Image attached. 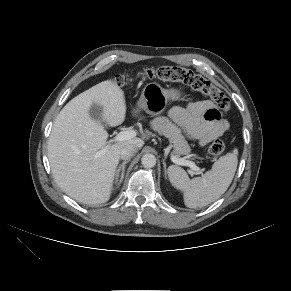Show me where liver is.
<instances>
[{
    "mask_svg": "<svg viewBox=\"0 0 291 291\" xmlns=\"http://www.w3.org/2000/svg\"><path fill=\"white\" fill-rule=\"evenodd\" d=\"M93 103L102 107V121L91 118ZM125 116L124 92L116 82L107 80L74 97L56 117L48 141L51 171L63 192L77 202H107L121 150L128 145L143 147L144 138L138 137L108 144L103 124L118 126Z\"/></svg>",
    "mask_w": 291,
    "mask_h": 291,
    "instance_id": "1",
    "label": "liver"
}]
</instances>
